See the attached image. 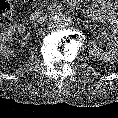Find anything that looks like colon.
<instances>
[{
  "label": "colon",
  "mask_w": 118,
  "mask_h": 118,
  "mask_svg": "<svg viewBox=\"0 0 118 118\" xmlns=\"http://www.w3.org/2000/svg\"><path fill=\"white\" fill-rule=\"evenodd\" d=\"M11 15L10 2L8 0H0V25L9 22Z\"/></svg>",
  "instance_id": "colon-1"
}]
</instances>
